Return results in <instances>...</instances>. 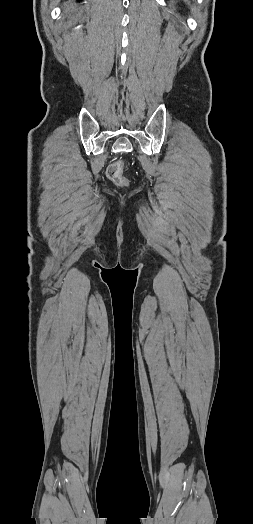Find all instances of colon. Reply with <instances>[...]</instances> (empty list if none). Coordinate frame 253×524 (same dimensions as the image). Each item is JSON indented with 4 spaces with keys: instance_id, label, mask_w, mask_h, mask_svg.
Segmentation results:
<instances>
[{
    "instance_id": "5ec220e1",
    "label": "colon",
    "mask_w": 253,
    "mask_h": 524,
    "mask_svg": "<svg viewBox=\"0 0 253 524\" xmlns=\"http://www.w3.org/2000/svg\"><path fill=\"white\" fill-rule=\"evenodd\" d=\"M107 177L118 186H123L127 183V179L123 173L122 163L115 161L111 163L106 170Z\"/></svg>"
}]
</instances>
